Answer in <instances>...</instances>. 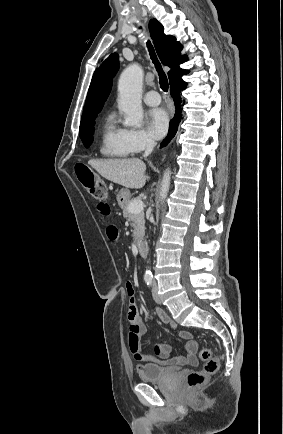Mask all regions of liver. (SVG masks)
<instances>
[{"instance_id": "obj_1", "label": "liver", "mask_w": 283, "mask_h": 434, "mask_svg": "<svg viewBox=\"0 0 283 434\" xmlns=\"http://www.w3.org/2000/svg\"><path fill=\"white\" fill-rule=\"evenodd\" d=\"M88 164L105 179L125 188L140 189L149 180L145 163L137 158L91 159Z\"/></svg>"}]
</instances>
